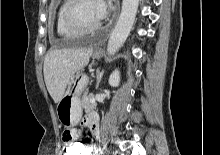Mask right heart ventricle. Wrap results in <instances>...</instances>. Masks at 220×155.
<instances>
[{"label": "right heart ventricle", "instance_id": "obj_1", "mask_svg": "<svg viewBox=\"0 0 220 155\" xmlns=\"http://www.w3.org/2000/svg\"><path fill=\"white\" fill-rule=\"evenodd\" d=\"M68 2L69 0H63L57 9L56 18H55L56 32L60 37L63 38H76L80 34L69 30L63 22V11L66 5L68 4Z\"/></svg>", "mask_w": 220, "mask_h": 155}]
</instances>
